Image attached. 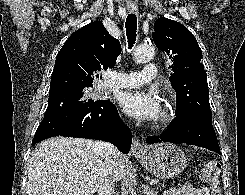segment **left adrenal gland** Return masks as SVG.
<instances>
[{
	"mask_svg": "<svg viewBox=\"0 0 245 195\" xmlns=\"http://www.w3.org/2000/svg\"><path fill=\"white\" fill-rule=\"evenodd\" d=\"M143 194L144 195H157V191L155 189H150L146 184L143 186Z\"/></svg>",
	"mask_w": 245,
	"mask_h": 195,
	"instance_id": "left-adrenal-gland-1",
	"label": "left adrenal gland"
}]
</instances>
